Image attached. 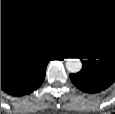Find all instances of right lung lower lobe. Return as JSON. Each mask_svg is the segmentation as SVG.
<instances>
[{"instance_id": "1", "label": "right lung lower lobe", "mask_w": 115, "mask_h": 114, "mask_svg": "<svg viewBox=\"0 0 115 114\" xmlns=\"http://www.w3.org/2000/svg\"><path fill=\"white\" fill-rule=\"evenodd\" d=\"M50 58H42L19 68L1 69V90L13 95H26L43 82Z\"/></svg>"}]
</instances>
